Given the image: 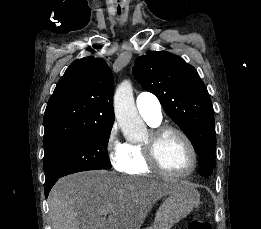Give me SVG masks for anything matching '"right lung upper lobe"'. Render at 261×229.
<instances>
[{"label":"right lung upper lobe","mask_w":261,"mask_h":229,"mask_svg":"<svg viewBox=\"0 0 261 229\" xmlns=\"http://www.w3.org/2000/svg\"><path fill=\"white\" fill-rule=\"evenodd\" d=\"M113 76L101 58L70 64L50 97L44 115V148L94 125L113 124Z\"/></svg>","instance_id":"cb5924a9"}]
</instances>
